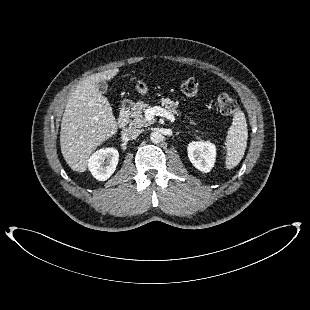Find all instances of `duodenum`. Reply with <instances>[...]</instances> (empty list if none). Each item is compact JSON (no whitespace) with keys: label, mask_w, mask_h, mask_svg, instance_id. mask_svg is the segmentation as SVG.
Instances as JSON below:
<instances>
[{"label":"duodenum","mask_w":310,"mask_h":310,"mask_svg":"<svg viewBox=\"0 0 310 310\" xmlns=\"http://www.w3.org/2000/svg\"><path fill=\"white\" fill-rule=\"evenodd\" d=\"M132 105L130 101H124L120 107L119 116H118V125L120 128L128 124L130 114H131Z\"/></svg>","instance_id":"1"}]
</instances>
